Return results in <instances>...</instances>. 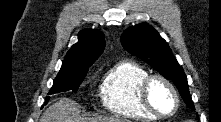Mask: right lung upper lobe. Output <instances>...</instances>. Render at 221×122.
Instances as JSON below:
<instances>
[{"instance_id":"right-lung-upper-lobe-1","label":"right lung upper lobe","mask_w":221,"mask_h":122,"mask_svg":"<svg viewBox=\"0 0 221 122\" xmlns=\"http://www.w3.org/2000/svg\"><path fill=\"white\" fill-rule=\"evenodd\" d=\"M105 41L97 30L86 29L78 34V42L67 52L60 71L88 69L103 52Z\"/></svg>"}]
</instances>
